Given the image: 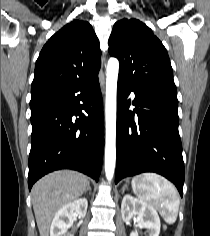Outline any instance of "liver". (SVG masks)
<instances>
[{
	"mask_svg": "<svg viewBox=\"0 0 210 236\" xmlns=\"http://www.w3.org/2000/svg\"><path fill=\"white\" fill-rule=\"evenodd\" d=\"M86 175L61 170L37 181L31 191L32 204L40 236H49L51 221L56 212L79 198L88 185Z\"/></svg>",
	"mask_w": 210,
	"mask_h": 236,
	"instance_id": "1",
	"label": "liver"
}]
</instances>
